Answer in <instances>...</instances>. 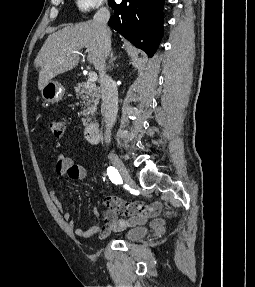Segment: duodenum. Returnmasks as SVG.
I'll return each instance as SVG.
<instances>
[{
  "label": "duodenum",
  "instance_id": "duodenum-1",
  "mask_svg": "<svg viewBox=\"0 0 255 287\" xmlns=\"http://www.w3.org/2000/svg\"><path fill=\"white\" fill-rule=\"evenodd\" d=\"M84 135L86 140L91 143L94 144L98 141V136H99V124L96 121H93L91 123H89L84 131Z\"/></svg>",
  "mask_w": 255,
  "mask_h": 287
}]
</instances>
